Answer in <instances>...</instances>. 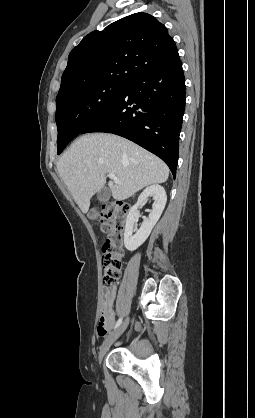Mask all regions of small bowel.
I'll return each instance as SVG.
<instances>
[{"instance_id":"1","label":"small bowel","mask_w":255,"mask_h":418,"mask_svg":"<svg viewBox=\"0 0 255 418\" xmlns=\"http://www.w3.org/2000/svg\"><path fill=\"white\" fill-rule=\"evenodd\" d=\"M116 290L112 288L105 291V299L102 305L101 314L106 316V325L104 330L97 329V333L100 337H103L111 329L114 324L116 313L113 308Z\"/></svg>"}]
</instances>
